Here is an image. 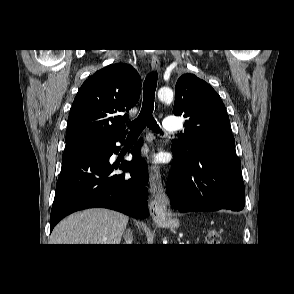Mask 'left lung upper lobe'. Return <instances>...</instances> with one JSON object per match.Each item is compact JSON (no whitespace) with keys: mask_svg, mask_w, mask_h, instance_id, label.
Returning <instances> with one entry per match:
<instances>
[{"mask_svg":"<svg viewBox=\"0 0 294 294\" xmlns=\"http://www.w3.org/2000/svg\"><path fill=\"white\" fill-rule=\"evenodd\" d=\"M173 111L174 115H183L187 120L183 140H175L172 150L182 156L196 151L236 155L225 106L207 82L193 74L180 76Z\"/></svg>","mask_w":294,"mask_h":294,"instance_id":"1","label":"left lung upper lobe"}]
</instances>
